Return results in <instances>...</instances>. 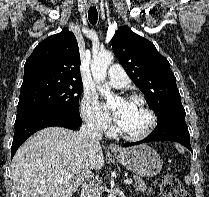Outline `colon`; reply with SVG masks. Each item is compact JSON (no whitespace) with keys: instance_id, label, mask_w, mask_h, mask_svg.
I'll list each match as a JSON object with an SVG mask.
<instances>
[{"instance_id":"colon-1","label":"colon","mask_w":209,"mask_h":197,"mask_svg":"<svg viewBox=\"0 0 209 197\" xmlns=\"http://www.w3.org/2000/svg\"><path fill=\"white\" fill-rule=\"evenodd\" d=\"M159 185L165 197H190L188 193L181 188L178 179L173 176H162Z\"/></svg>"}]
</instances>
